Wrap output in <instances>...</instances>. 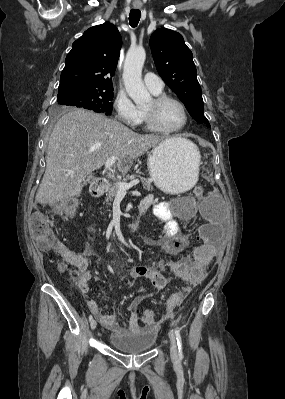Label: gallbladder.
<instances>
[{"label": "gallbladder", "instance_id": "bac80fb5", "mask_svg": "<svg viewBox=\"0 0 285 399\" xmlns=\"http://www.w3.org/2000/svg\"><path fill=\"white\" fill-rule=\"evenodd\" d=\"M91 179H92V176H89V177H88V181H90Z\"/></svg>", "mask_w": 285, "mask_h": 399}]
</instances>
